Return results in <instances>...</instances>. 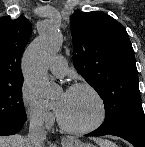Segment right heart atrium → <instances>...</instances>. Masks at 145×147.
I'll return each mask as SVG.
<instances>
[{"instance_id":"right-heart-atrium-1","label":"right heart atrium","mask_w":145,"mask_h":147,"mask_svg":"<svg viewBox=\"0 0 145 147\" xmlns=\"http://www.w3.org/2000/svg\"><path fill=\"white\" fill-rule=\"evenodd\" d=\"M20 101L23 112L30 123L42 128H51L53 126L55 121L54 112L39 101L26 83L21 87Z\"/></svg>"}]
</instances>
